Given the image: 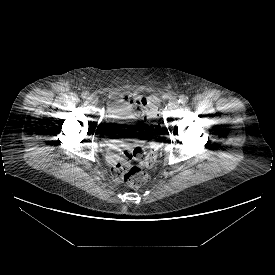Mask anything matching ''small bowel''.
<instances>
[{
  "label": "small bowel",
  "instance_id": "1",
  "mask_svg": "<svg viewBox=\"0 0 275 275\" xmlns=\"http://www.w3.org/2000/svg\"><path fill=\"white\" fill-rule=\"evenodd\" d=\"M137 99L138 98L136 96L114 95L112 97V100L114 102H118V103L121 104V106H119L118 108H120L122 110H128V111L135 108V104H136ZM110 147L114 151H119L123 147V144L115 142V143H112L110 145ZM108 160H109V163L111 165L112 171L116 174H120L121 172L126 170L127 167H128L127 160L119 157L116 153H110L108 155ZM120 162H122L121 167H119Z\"/></svg>",
  "mask_w": 275,
  "mask_h": 275
}]
</instances>
